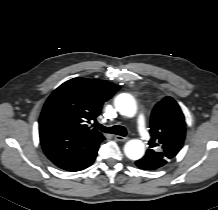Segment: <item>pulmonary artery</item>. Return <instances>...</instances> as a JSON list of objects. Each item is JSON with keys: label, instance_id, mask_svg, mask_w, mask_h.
Returning a JSON list of instances; mask_svg holds the SVG:
<instances>
[{"label": "pulmonary artery", "instance_id": "e3ab8cb5", "mask_svg": "<svg viewBox=\"0 0 218 210\" xmlns=\"http://www.w3.org/2000/svg\"><path fill=\"white\" fill-rule=\"evenodd\" d=\"M136 124H137V128H138L139 133L144 137V139L148 140L150 136H149V133L146 129L145 117L142 113H140L137 116Z\"/></svg>", "mask_w": 218, "mask_h": 210}]
</instances>
